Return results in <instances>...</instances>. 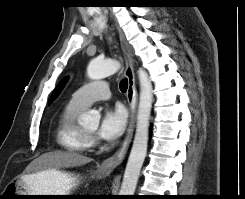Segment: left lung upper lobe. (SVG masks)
Instances as JSON below:
<instances>
[{"label":"left lung upper lobe","instance_id":"left-lung-upper-lobe-1","mask_svg":"<svg viewBox=\"0 0 245 199\" xmlns=\"http://www.w3.org/2000/svg\"><path fill=\"white\" fill-rule=\"evenodd\" d=\"M67 79H63L59 84L58 86L55 88V90L53 91L52 95H51V98H50V102L51 103L57 96L58 94L60 93V91L62 90L63 86L65 85Z\"/></svg>","mask_w":245,"mask_h":199}]
</instances>
